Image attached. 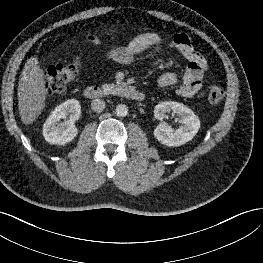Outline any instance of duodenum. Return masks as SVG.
<instances>
[{
    "mask_svg": "<svg viewBox=\"0 0 263 263\" xmlns=\"http://www.w3.org/2000/svg\"><path fill=\"white\" fill-rule=\"evenodd\" d=\"M121 93L123 96H125L128 99L134 100V101H143L145 98V95L143 92L130 87V86H124L121 88ZM105 95L104 90L96 85H90L87 86L84 89V96L87 99H97V98H101Z\"/></svg>",
    "mask_w": 263,
    "mask_h": 263,
    "instance_id": "obj_1",
    "label": "duodenum"
}]
</instances>
